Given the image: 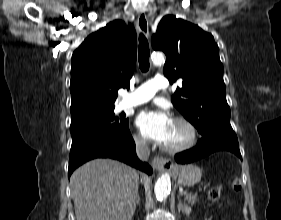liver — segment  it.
Listing matches in <instances>:
<instances>
[{"label":"liver","instance_id":"obj_1","mask_svg":"<svg viewBox=\"0 0 281 220\" xmlns=\"http://www.w3.org/2000/svg\"><path fill=\"white\" fill-rule=\"evenodd\" d=\"M138 172L112 159H94L70 179L77 220H131L138 195Z\"/></svg>","mask_w":281,"mask_h":220}]
</instances>
